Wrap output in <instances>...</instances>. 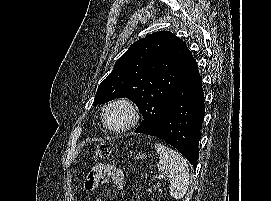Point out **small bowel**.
I'll list each match as a JSON object with an SVG mask.
<instances>
[{
  "label": "small bowel",
  "mask_w": 271,
  "mask_h": 201,
  "mask_svg": "<svg viewBox=\"0 0 271 201\" xmlns=\"http://www.w3.org/2000/svg\"><path fill=\"white\" fill-rule=\"evenodd\" d=\"M111 181L118 191H123L126 186V181L123 172L114 166L96 165L85 180V188L87 190L96 189L101 183Z\"/></svg>",
  "instance_id": "obj_1"
}]
</instances>
